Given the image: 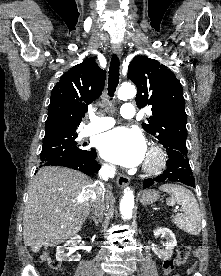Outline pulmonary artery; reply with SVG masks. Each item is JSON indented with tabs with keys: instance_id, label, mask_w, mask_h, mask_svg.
<instances>
[{
	"instance_id": "pulmonary-artery-1",
	"label": "pulmonary artery",
	"mask_w": 221,
	"mask_h": 276,
	"mask_svg": "<svg viewBox=\"0 0 221 276\" xmlns=\"http://www.w3.org/2000/svg\"><path fill=\"white\" fill-rule=\"evenodd\" d=\"M120 112L121 115L126 119H130L135 116V108L130 103H125L121 107ZM114 124L115 122L111 117H98L94 115L91 117V122L85 127L83 133L85 135L96 134L111 128L114 126Z\"/></svg>"
}]
</instances>
